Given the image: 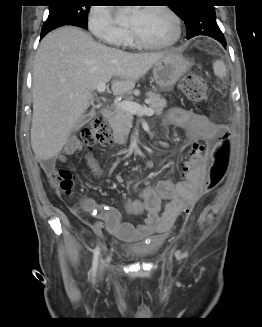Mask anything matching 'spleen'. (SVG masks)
<instances>
[{
  "label": "spleen",
  "mask_w": 262,
  "mask_h": 327,
  "mask_svg": "<svg viewBox=\"0 0 262 327\" xmlns=\"http://www.w3.org/2000/svg\"><path fill=\"white\" fill-rule=\"evenodd\" d=\"M214 74L220 78L226 76V65L223 61L217 60L213 63Z\"/></svg>",
  "instance_id": "1"
}]
</instances>
